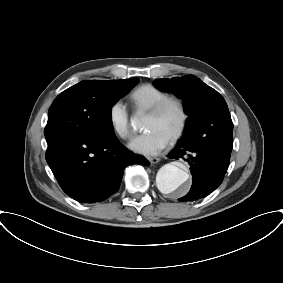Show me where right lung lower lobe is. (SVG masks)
<instances>
[{"mask_svg":"<svg viewBox=\"0 0 283 283\" xmlns=\"http://www.w3.org/2000/svg\"><path fill=\"white\" fill-rule=\"evenodd\" d=\"M46 161L63 191L83 203L102 202L115 194L128 165H149L144 157L125 148L115 134L55 139L48 143Z\"/></svg>","mask_w":283,"mask_h":283,"instance_id":"1","label":"right lung lower lobe"}]
</instances>
